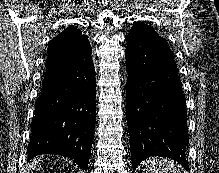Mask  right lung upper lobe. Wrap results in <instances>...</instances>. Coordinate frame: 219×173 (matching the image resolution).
Segmentation results:
<instances>
[{
  "mask_svg": "<svg viewBox=\"0 0 219 173\" xmlns=\"http://www.w3.org/2000/svg\"><path fill=\"white\" fill-rule=\"evenodd\" d=\"M48 58L55 65L63 66L76 56L83 57L92 53L89 41L80 30L68 27L48 43Z\"/></svg>",
  "mask_w": 219,
  "mask_h": 173,
  "instance_id": "obj_1",
  "label": "right lung upper lobe"
}]
</instances>
